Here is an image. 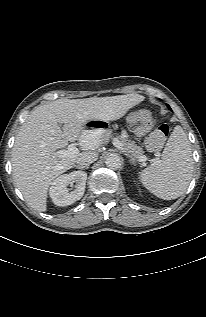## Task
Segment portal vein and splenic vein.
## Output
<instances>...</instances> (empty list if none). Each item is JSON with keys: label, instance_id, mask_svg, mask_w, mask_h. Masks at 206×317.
<instances>
[{"label": "portal vein and splenic vein", "instance_id": "1", "mask_svg": "<svg viewBox=\"0 0 206 317\" xmlns=\"http://www.w3.org/2000/svg\"><path fill=\"white\" fill-rule=\"evenodd\" d=\"M82 143L83 145L89 146L91 144L90 139L84 138L82 139ZM113 144L118 148L123 150V145L122 143L118 140V139H113ZM79 153L78 148L76 147V145L74 143L68 145L67 149H62V150H58L54 153V155L58 158H66V157H75L77 154ZM147 160L145 155H142L139 157V161L140 162H145Z\"/></svg>", "mask_w": 206, "mask_h": 317}]
</instances>
